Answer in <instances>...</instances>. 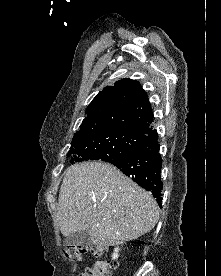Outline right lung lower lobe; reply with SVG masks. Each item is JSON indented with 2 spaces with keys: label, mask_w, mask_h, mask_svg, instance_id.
I'll use <instances>...</instances> for the list:
<instances>
[{
  "label": "right lung lower lobe",
  "mask_w": 221,
  "mask_h": 276,
  "mask_svg": "<svg viewBox=\"0 0 221 276\" xmlns=\"http://www.w3.org/2000/svg\"><path fill=\"white\" fill-rule=\"evenodd\" d=\"M157 131L152 129L144 137L140 146L128 155L111 161L125 175L132 178L137 184L150 191L162 207L161 157L159 154Z\"/></svg>",
  "instance_id": "98d812e1"
}]
</instances>
